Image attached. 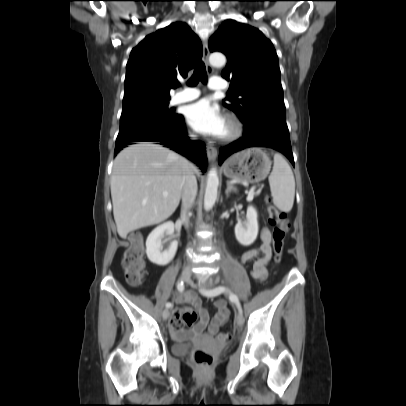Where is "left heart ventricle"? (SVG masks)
Returning a JSON list of instances; mask_svg holds the SVG:
<instances>
[{"label":"left heart ventricle","mask_w":406,"mask_h":406,"mask_svg":"<svg viewBox=\"0 0 406 406\" xmlns=\"http://www.w3.org/2000/svg\"><path fill=\"white\" fill-rule=\"evenodd\" d=\"M227 132H228V127H227V125L225 124V128H224V131H223V134H222V135L226 134Z\"/></svg>","instance_id":"b2bd125f"}]
</instances>
